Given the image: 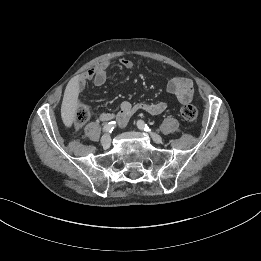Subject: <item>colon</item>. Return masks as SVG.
Here are the masks:
<instances>
[{
  "label": "colon",
  "instance_id": "5ec220e1",
  "mask_svg": "<svg viewBox=\"0 0 261 261\" xmlns=\"http://www.w3.org/2000/svg\"><path fill=\"white\" fill-rule=\"evenodd\" d=\"M181 116L188 122H194L197 119V109L191 104H185L180 107ZM91 116V109L86 104H81L75 113V124L81 126L85 124Z\"/></svg>",
  "mask_w": 261,
  "mask_h": 261
}]
</instances>
